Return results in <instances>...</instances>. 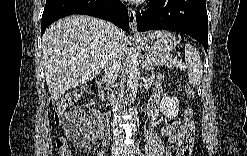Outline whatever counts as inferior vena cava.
<instances>
[{"mask_svg":"<svg viewBox=\"0 0 247 156\" xmlns=\"http://www.w3.org/2000/svg\"><path fill=\"white\" fill-rule=\"evenodd\" d=\"M105 32L108 35L107 52L104 58L103 68L109 82H113L118 77V72L121 66L122 50L119 45V29L112 23H106ZM110 102L114 113V122H117L118 115L117 112L120 110V105L115 100L114 92L112 91L110 96ZM116 136L121 134V131L117 127L114 128Z\"/></svg>","mask_w":247,"mask_h":156,"instance_id":"obj_1","label":"inferior vena cava"}]
</instances>
